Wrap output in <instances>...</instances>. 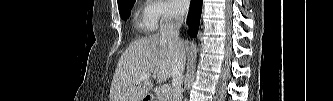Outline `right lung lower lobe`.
I'll return each mask as SVG.
<instances>
[{"label":"right lung lower lobe","instance_id":"98d812e1","mask_svg":"<svg viewBox=\"0 0 333 101\" xmlns=\"http://www.w3.org/2000/svg\"><path fill=\"white\" fill-rule=\"evenodd\" d=\"M202 9V0H192L188 15L189 33L195 37L198 32Z\"/></svg>","mask_w":333,"mask_h":101}]
</instances>
